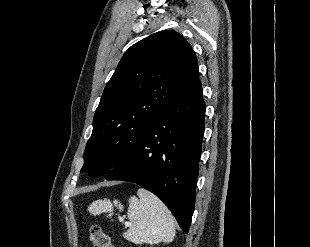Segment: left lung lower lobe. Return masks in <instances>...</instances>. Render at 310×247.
I'll list each match as a JSON object with an SVG mask.
<instances>
[{
    "instance_id": "1",
    "label": "left lung lower lobe",
    "mask_w": 310,
    "mask_h": 247,
    "mask_svg": "<svg viewBox=\"0 0 310 247\" xmlns=\"http://www.w3.org/2000/svg\"><path fill=\"white\" fill-rule=\"evenodd\" d=\"M205 103L199 79L152 123L134 152L106 179L154 193L188 233L195 204Z\"/></svg>"
}]
</instances>
